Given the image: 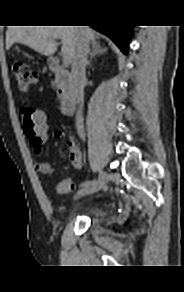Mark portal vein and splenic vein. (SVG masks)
<instances>
[{"instance_id":"18ae733b","label":"portal vein and splenic vein","mask_w":184,"mask_h":292,"mask_svg":"<svg viewBox=\"0 0 184 292\" xmlns=\"http://www.w3.org/2000/svg\"><path fill=\"white\" fill-rule=\"evenodd\" d=\"M70 62L69 58L67 55L63 54V64L67 65Z\"/></svg>"}]
</instances>
